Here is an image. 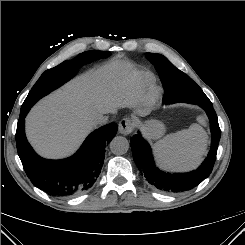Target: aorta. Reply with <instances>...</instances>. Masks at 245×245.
Returning a JSON list of instances; mask_svg holds the SVG:
<instances>
[{"instance_id":"aorta-1","label":"aorta","mask_w":245,"mask_h":245,"mask_svg":"<svg viewBox=\"0 0 245 245\" xmlns=\"http://www.w3.org/2000/svg\"><path fill=\"white\" fill-rule=\"evenodd\" d=\"M129 146V141L122 136H117L110 142V150L116 155L125 154L128 151Z\"/></svg>"}]
</instances>
